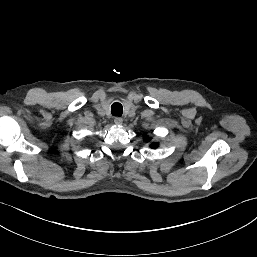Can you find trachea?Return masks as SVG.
<instances>
[{
    "label": "trachea",
    "mask_w": 257,
    "mask_h": 257,
    "mask_svg": "<svg viewBox=\"0 0 257 257\" xmlns=\"http://www.w3.org/2000/svg\"><path fill=\"white\" fill-rule=\"evenodd\" d=\"M111 113L114 116H119L120 117L123 113L122 105L118 102L113 103L112 106H111Z\"/></svg>",
    "instance_id": "trachea-1"
}]
</instances>
